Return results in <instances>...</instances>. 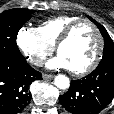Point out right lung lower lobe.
Returning a JSON list of instances; mask_svg holds the SVG:
<instances>
[{
	"instance_id": "obj_1",
	"label": "right lung lower lobe",
	"mask_w": 114,
	"mask_h": 114,
	"mask_svg": "<svg viewBox=\"0 0 114 114\" xmlns=\"http://www.w3.org/2000/svg\"><path fill=\"white\" fill-rule=\"evenodd\" d=\"M42 79L25 58H0V114H18L31 100L30 84Z\"/></svg>"
}]
</instances>
